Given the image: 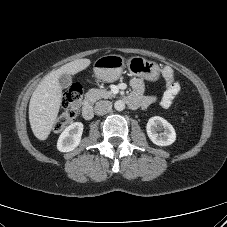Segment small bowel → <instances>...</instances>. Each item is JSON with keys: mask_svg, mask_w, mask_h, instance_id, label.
<instances>
[{"mask_svg": "<svg viewBox=\"0 0 227 227\" xmlns=\"http://www.w3.org/2000/svg\"><path fill=\"white\" fill-rule=\"evenodd\" d=\"M163 77L166 81V90L160 99V105L163 108H169L173 102L176 100L179 92H180V85L179 83L175 82L173 79V72L169 68H165L163 71ZM131 87L133 89V93L129 96V98L135 103V107H142L146 108L152 103L156 101L155 96L145 95V87L144 83L135 78L131 81Z\"/></svg>", "mask_w": 227, "mask_h": 227, "instance_id": "obj_1", "label": "small bowel"}]
</instances>
